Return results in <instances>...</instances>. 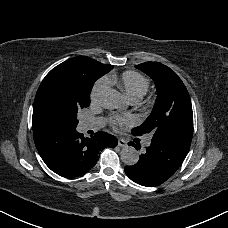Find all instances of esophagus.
Instances as JSON below:
<instances>
[{"label":"esophagus","mask_w":228,"mask_h":228,"mask_svg":"<svg viewBox=\"0 0 228 228\" xmlns=\"http://www.w3.org/2000/svg\"><path fill=\"white\" fill-rule=\"evenodd\" d=\"M127 142L124 140V139H122V138H118V146L119 147H127Z\"/></svg>","instance_id":"esophagus-1"}]
</instances>
